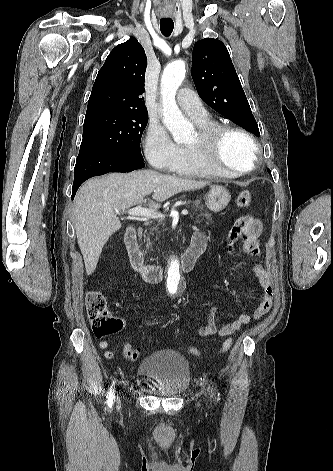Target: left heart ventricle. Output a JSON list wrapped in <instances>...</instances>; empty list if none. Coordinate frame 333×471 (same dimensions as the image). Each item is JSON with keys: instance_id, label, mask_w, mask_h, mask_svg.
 Returning <instances> with one entry per match:
<instances>
[{"instance_id": "1", "label": "left heart ventricle", "mask_w": 333, "mask_h": 471, "mask_svg": "<svg viewBox=\"0 0 333 471\" xmlns=\"http://www.w3.org/2000/svg\"><path fill=\"white\" fill-rule=\"evenodd\" d=\"M197 136L191 141L193 144ZM220 161L231 168L243 169L250 166L252 161V147L250 143L241 135L227 134L220 145Z\"/></svg>"}]
</instances>
